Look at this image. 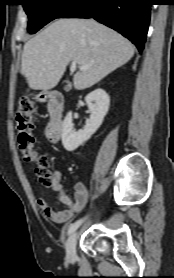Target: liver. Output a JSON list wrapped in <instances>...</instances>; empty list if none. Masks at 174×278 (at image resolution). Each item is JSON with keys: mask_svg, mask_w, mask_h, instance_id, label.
<instances>
[{"mask_svg": "<svg viewBox=\"0 0 174 278\" xmlns=\"http://www.w3.org/2000/svg\"><path fill=\"white\" fill-rule=\"evenodd\" d=\"M134 52L129 40L93 19L61 18L25 43L21 74L30 89L47 91L75 61L89 66L73 77L74 88L83 90L126 64Z\"/></svg>", "mask_w": 174, "mask_h": 278, "instance_id": "liver-1", "label": "liver"}]
</instances>
